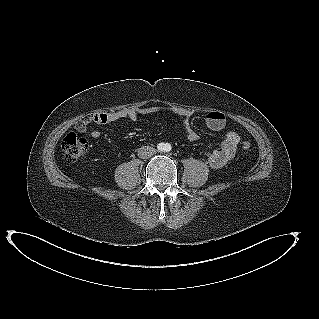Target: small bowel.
Returning <instances> with one entry per match:
<instances>
[{
    "mask_svg": "<svg viewBox=\"0 0 319 319\" xmlns=\"http://www.w3.org/2000/svg\"><path fill=\"white\" fill-rule=\"evenodd\" d=\"M149 114H167L181 117L186 138L191 142L198 140L199 135L192 129L190 123L192 112L188 109L169 106L138 107L113 112L95 113L79 121L75 128L77 131L85 133L92 123L114 124L122 120L135 121L140 116ZM205 124L212 131H223L226 126L225 115L219 111L208 112L205 116ZM90 135L93 139L98 140L101 133L98 130H92ZM239 141L240 136L235 130H225L221 145L206 153L210 167L218 169L226 165L234 157Z\"/></svg>",
    "mask_w": 319,
    "mask_h": 319,
    "instance_id": "obj_1",
    "label": "small bowel"
}]
</instances>
